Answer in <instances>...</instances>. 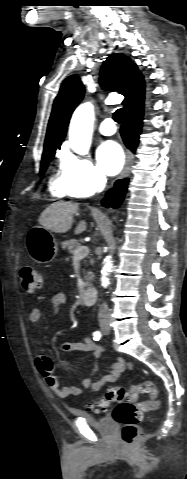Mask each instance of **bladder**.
<instances>
[{"instance_id":"obj_1","label":"bladder","mask_w":187,"mask_h":479,"mask_svg":"<svg viewBox=\"0 0 187 479\" xmlns=\"http://www.w3.org/2000/svg\"><path fill=\"white\" fill-rule=\"evenodd\" d=\"M80 418L85 419L90 425L95 427L101 434L110 435L115 431L116 425L112 418L103 417L95 418L89 413L81 410H75L72 413Z\"/></svg>"}]
</instances>
